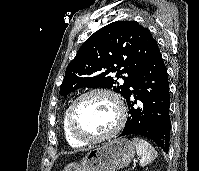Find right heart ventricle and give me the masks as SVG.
Instances as JSON below:
<instances>
[{
	"label": "right heart ventricle",
	"instance_id": "1",
	"mask_svg": "<svg viewBox=\"0 0 199 171\" xmlns=\"http://www.w3.org/2000/svg\"><path fill=\"white\" fill-rule=\"evenodd\" d=\"M68 109L65 111L63 119H62V130H63V134L64 137L67 141V143L72 146V147H81L83 145H85L84 142L76 139L70 132L69 130V126H68V119H67V114H68Z\"/></svg>",
	"mask_w": 199,
	"mask_h": 171
}]
</instances>
